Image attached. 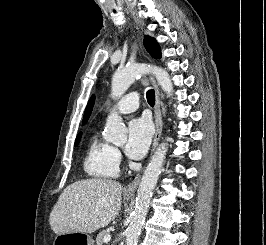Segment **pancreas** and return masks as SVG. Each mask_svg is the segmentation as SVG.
<instances>
[{"label":"pancreas","mask_w":266,"mask_h":245,"mask_svg":"<svg viewBox=\"0 0 266 245\" xmlns=\"http://www.w3.org/2000/svg\"><path fill=\"white\" fill-rule=\"evenodd\" d=\"M106 235H110L109 231H101L96 237V245H104L103 239Z\"/></svg>","instance_id":"obj_1"}]
</instances>
